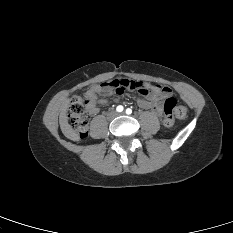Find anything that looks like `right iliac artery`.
Masks as SVG:
<instances>
[{
  "label": "right iliac artery",
  "mask_w": 233,
  "mask_h": 233,
  "mask_svg": "<svg viewBox=\"0 0 233 233\" xmlns=\"http://www.w3.org/2000/svg\"><path fill=\"white\" fill-rule=\"evenodd\" d=\"M123 109H124L123 106H122V105H119V106H117L116 111H117V112H122Z\"/></svg>",
  "instance_id": "82829eb1"
}]
</instances>
